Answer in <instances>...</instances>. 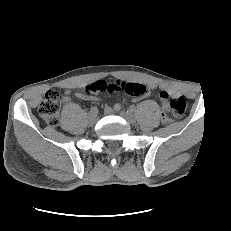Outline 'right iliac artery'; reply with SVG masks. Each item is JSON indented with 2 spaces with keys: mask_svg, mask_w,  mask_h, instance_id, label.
<instances>
[{
  "mask_svg": "<svg viewBox=\"0 0 231 231\" xmlns=\"http://www.w3.org/2000/svg\"><path fill=\"white\" fill-rule=\"evenodd\" d=\"M98 113V108L97 107H92L90 109V114L96 115Z\"/></svg>",
  "mask_w": 231,
  "mask_h": 231,
  "instance_id": "1",
  "label": "right iliac artery"
}]
</instances>
